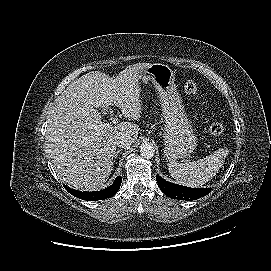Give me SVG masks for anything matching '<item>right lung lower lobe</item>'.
Instances as JSON below:
<instances>
[{"mask_svg": "<svg viewBox=\"0 0 271 271\" xmlns=\"http://www.w3.org/2000/svg\"><path fill=\"white\" fill-rule=\"evenodd\" d=\"M121 182H122V178L118 176L111 186L101 191H93V192H85V191L82 192V191L71 189L67 186H64V187L70 194H72L73 196L77 198L88 200V201H96V200H103V199L113 197L118 192Z\"/></svg>", "mask_w": 271, "mask_h": 271, "instance_id": "obj_1", "label": "right lung lower lobe"}]
</instances>
